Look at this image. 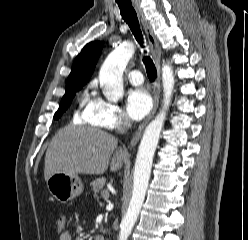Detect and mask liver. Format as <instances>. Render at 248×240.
Returning a JSON list of instances; mask_svg holds the SVG:
<instances>
[{
  "mask_svg": "<svg viewBox=\"0 0 248 240\" xmlns=\"http://www.w3.org/2000/svg\"><path fill=\"white\" fill-rule=\"evenodd\" d=\"M117 145V139L105 131L67 126L57 132L46 151L45 180L58 172L99 175L108 166L115 172L128 160L126 151Z\"/></svg>",
  "mask_w": 248,
  "mask_h": 240,
  "instance_id": "obj_1",
  "label": "liver"
}]
</instances>
